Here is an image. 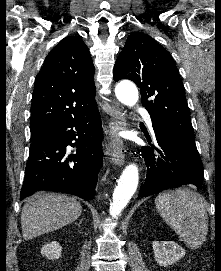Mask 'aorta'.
<instances>
[{"label":"aorta","mask_w":221,"mask_h":271,"mask_svg":"<svg viewBox=\"0 0 221 271\" xmlns=\"http://www.w3.org/2000/svg\"><path fill=\"white\" fill-rule=\"evenodd\" d=\"M117 99L126 106L133 107L138 102V90L134 83L122 81L115 87ZM139 182V171L135 164L126 166L113 192V201L110 205V214L118 216L126 207L135 193Z\"/></svg>","instance_id":"aorta-1"}]
</instances>
